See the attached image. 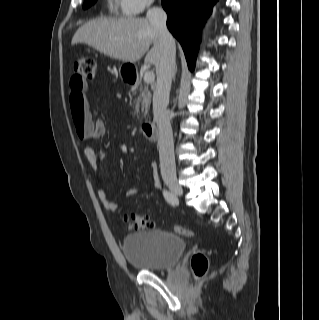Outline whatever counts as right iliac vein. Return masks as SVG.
Here are the masks:
<instances>
[{
	"instance_id": "63e3f726",
	"label": "right iliac vein",
	"mask_w": 319,
	"mask_h": 320,
	"mask_svg": "<svg viewBox=\"0 0 319 320\" xmlns=\"http://www.w3.org/2000/svg\"><path fill=\"white\" fill-rule=\"evenodd\" d=\"M165 183L175 195L181 196L183 194L182 186L179 184L176 178L166 177Z\"/></svg>"
}]
</instances>
